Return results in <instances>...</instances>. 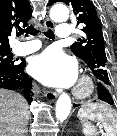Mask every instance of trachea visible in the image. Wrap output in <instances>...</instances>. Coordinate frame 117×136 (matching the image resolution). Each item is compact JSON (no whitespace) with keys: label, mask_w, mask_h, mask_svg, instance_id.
I'll list each match as a JSON object with an SVG mask.
<instances>
[{"label":"trachea","mask_w":117,"mask_h":136,"mask_svg":"<svg viewBox=\"0 0 117 136\" xmlns=\"http://www.w3.org/2000/svg\"><path fill=\"white\" fill-rule=\"evenodd\" d=\"M23 33H26V36H28V35L36 36L39 33V31L37 29H35L33 26H29L25 30H20L18 35L20 36ZM44 34L46 37H48L50 39L55 38L54 32L51 29H49Z\"/></svg>","instance_id":"trachea-1"}]
</instances>
